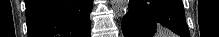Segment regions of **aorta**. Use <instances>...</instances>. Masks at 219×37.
I'll return each instance as SVG.
<instances>
[{
  "label": "aorta",
  "instance_id": "obj_1",
  "mask_svg": "<svg viewBox=\"0 0 219 37\" xmlns=\"http://www.w3.org/2000/svg\"><path fill=\"white\" fill-rule=\"evenodd\" d=\"M112 8L120 17L124 16L129 9V0H111Z\"/></svg>",
  "mask_w": 219,
  "mask_h": 37
}]
</instances>
